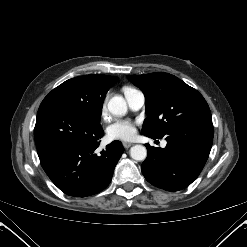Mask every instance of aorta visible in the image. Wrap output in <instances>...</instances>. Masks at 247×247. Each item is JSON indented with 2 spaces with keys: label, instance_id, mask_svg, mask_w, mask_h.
Masks as SVG:
<instances>
[{
  "label": "aorta",
  "instance_id": "obj_1",
  "mask_svg": "<svg viewBox=\"0 0 247 247\" xmlns=\"http://www.w3.org/2000/svg\"><path fill=\"white\" fill-rule=\"evenodd\" d=\"M108 110L116 116H124L127 112V104L122 96H114L108 102ZM130 156L137 161H143L147 157V149L143 145H135L130 149Z\"/></svg>",
  "mask_w": 247,
  "mask_h": 247
}]
</instances>
